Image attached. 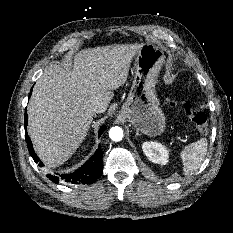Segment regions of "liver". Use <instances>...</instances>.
Instances as JSON below:
<instances>
[{"label": "liver", "mask_w": 233, "mask_h": 233, "mask_svg": "<svg viewBox=\"0 0 233 233\" xmlns=\"http://www.w3.org/2000/svg\"><path fill=\"white\" fill-rule=\"evenodd\" d=\"M142 44H116L79 51L72 70L45 68L28 104V134L40 159L62 165L85 139L95 113H104L128 77ZM97 110V112L95 111Z\"/></svg>", "instance_id": "1"}]
</instances>
